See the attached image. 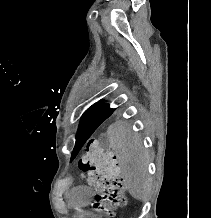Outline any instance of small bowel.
<instances>
[{"label":"small bowel","instance_id":"obj_1","mask_svg":"<svg viewBox=\"0 0 211 218\" xmlns=\"http://www.w3.org/2000/svg\"><path fill=\"white\" fill-rule=\"evenodd\" d=\"M92 195L93 191L88 186L75 187L66 193V197L72 205L84 204Z\"/></svg>","mask_w":211,"mask_h":218}]
</instances>
